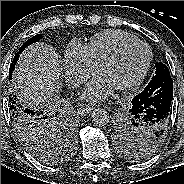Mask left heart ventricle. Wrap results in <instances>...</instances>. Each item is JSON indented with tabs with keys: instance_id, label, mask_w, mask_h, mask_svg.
<instances>
[{
	"instance_id": "left-heart-ventricle-1",
	"label": "left heart ventricle",
	"mask_w": 184,
	"mask_h": 184,
	"mask_svg": "<svg viewBox=\"0 0 184 184\" xmlns=\"http://www.w3.org/2000/svg\"><path fill=\"white\" fill-rule=\"evenodd\" d=\"M146 59V49L142 46H133L107 65L101 74L117 89L129 84L140 73Z\"/></svg>"
}]
</instances>
